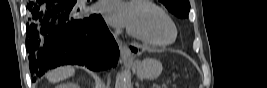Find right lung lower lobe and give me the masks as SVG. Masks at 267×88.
Wrapping results in <instances>:
<instances>
[{
	"label": "right lung lower lobe",
	"mask_w": 267,
	"mask_h": 88,
	"mask_svg": "<svg viewBox=\"0 0 267 88\" xmlns=\"http://www.w3.org/2000/svg\"><path fill=\"white\" fill-rule=\"evenodd\" d=\"M76 0H34L27 5L26 50L33 81L60 65H86L93 71L115 66L119 49L103 18H81Z\"/></svg>",
	"instance_id": "right-lung-lower-lobe-1"
}]
</instances>
